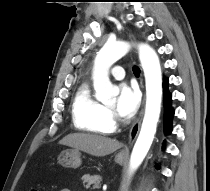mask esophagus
I'll list each match as a JSON object with an SVG mask.
<instances>
[{"instance_id":"esophagus-1","label":"esophagus","mask_w":210,"mask_h":191,"mask_svg":"<svg viewBox=\"0 0 210 191\" xmlns=\"http://www.w3.org/2000/svg\"><path fill=\"white\" fill-rule=\"evenodd\" d=\"M130 39H131L132 43L135 44V39H134L132 36L130 37ZM143 103H144V100H143ZM143 113H144V111H143V109H142L141 112H140V114H139L138 119H137L136 122L132 125V127H131V129H130V133H129V145H130V146L134 143V141H135V139H136V137H137V135H138V133H139V129H140V125H141ZM127 152H128V150L125 149V150L122 152V154L124 155V154H126Z\"/></svg>"}]
</instances>
